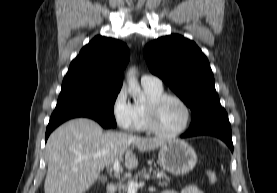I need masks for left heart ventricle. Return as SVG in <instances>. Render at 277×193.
<instances>
[{
    "mask_svg": "<svg viewBox=\"0 0 277 193\" xmlns=\"http://www.w3.org/2000/svg\"><path fill=\"white\" fill-rule=\"evenodd\" d=\"M185 117L184 108L173 99L165 100L158 108V125L164 131L172 132L181 128Z\"/></svg>",
    "mask_w": 277,
    "mask_h": 193,
    "instance_id": "1",
    "label": "left heart ventricle"
}]
</instances>
